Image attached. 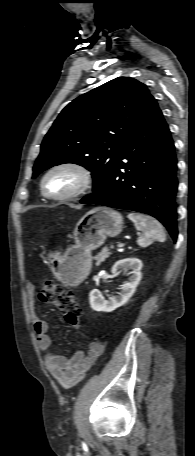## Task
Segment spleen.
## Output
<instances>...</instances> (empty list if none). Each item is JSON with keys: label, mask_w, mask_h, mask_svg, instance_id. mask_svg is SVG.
<instances>
[{"label": "spleen", "mask_w": 195, "mask_h": 456, "mask_svg": "<svg viewBox=\"0 0 195 456\" xmlns=\"http://www.w3.org/2000/svg\"><path fill=\"white\" fill-rule=\"evenodd\" d=\"M128 218L134 223L136 229L141 231V235L137 240L139 246L147 247L154 240L165 241L166 235L163 227L153 217L139 213H130L128 214Z\"/></svg>", "instance_id": "spleen-1"}]
</instances>
